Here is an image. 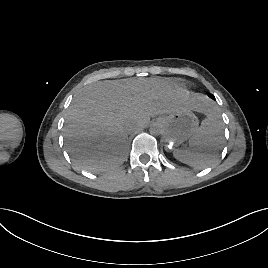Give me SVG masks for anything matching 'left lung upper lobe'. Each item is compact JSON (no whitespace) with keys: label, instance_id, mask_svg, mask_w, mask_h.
I'll return each instance as SVG.
<instances>
[{"label":"left lung upper lobe","instance_id":"left-lung-upper-lobe-1","mask_svg":"<svg viewBox=\"0 0 268 268\" xmlns=\"http://www.w3.org/2000/svg\"><path fill=\"white\" fill-rule=\"evenodd\" d=\"M208 95H209V97H211L212 99L215 98L212 94H208Z\"/></svg>","mask_w":268,"mask_h":268}]
</instances>
